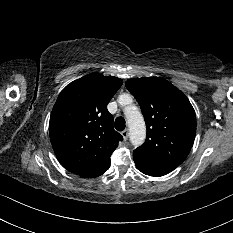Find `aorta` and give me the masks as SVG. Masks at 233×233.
<instances>
[{
  "label": "aorta",
  "mask_w": 233,
  "mask_h": 233,
  "mask_svg": "<svg viewBox=\"0 0 233 233\" xmlns=\"http://www.w3.org/2000/svg\"><path fill=\"white\" fill-rule=\"evenodd\" d=\"M129 99V95L122 94L119 96V103L124 104V102ZM124 111L129 127L130 141L133 146L138 147L144 143L146 138V126L144 118L135 106L126 107Z\"/></svg>",
  "instance_id": "762f6f07"
}]
</instances>
